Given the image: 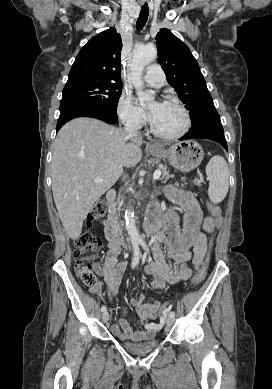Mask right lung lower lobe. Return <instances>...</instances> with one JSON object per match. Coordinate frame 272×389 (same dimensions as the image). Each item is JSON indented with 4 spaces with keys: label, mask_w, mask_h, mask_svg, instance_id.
<instances>
[{
    "label": "right lung lower lobe",
    "mask_w": 272,
    "mask_h": 389,
    "mask_svg": "<svg viewBox=\"0 0 272 389\" xmlns=\"http://www.w3.org/2000/svg\"><path fill=\"white\" fill-rule=\"evenodd\" d=\"M60 116L57 121L58 131L66 122L77 117H92L106 123L113 124L117 121L116 112L108 111L96 104L84 101H64L60 104Z\"/></svg>",
    "instance_id": "obj_1"
}]
</instances>
